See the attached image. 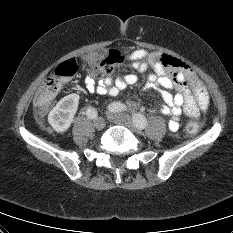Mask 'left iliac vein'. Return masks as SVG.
<instances>
[{
	"instance_id": "left-iliac-vein-1",
	"label": "left iliac vein",
	"mask_w": 233,
	"mask_h": 233,
	"mask_svg": "<svg viewBox=\"0 0 233 233\" xmlns=\"http://www.w3.org/2000/svg\"><path fill=\"white\" fill-rule=\"evenodd\" d=\"M109 120H111L115 124L123 125L129 128L131 131L140 133V129L136 127L135 123L133 122L132 118L124 113H112L109 112L107 114Z\"/></svg>"
}]
</instances>
